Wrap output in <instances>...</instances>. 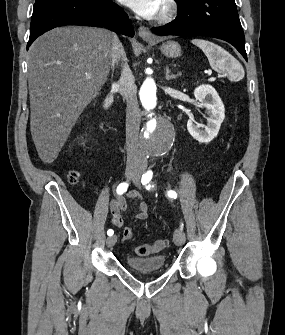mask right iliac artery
<instances>
[{
  "label": "right iliac artery",
  "instance_id": "1",
  "mask_svg": "<svg viewBox=\"0 0 285 335\" xmlns=\"http://www.w3.org/2000/svg\"><path fill=\"white\" fill-rule=\"evenodd\" d=\"M127 188H128V183L125 182V183L119 184L118 187H117V194L122 195L124 192L127 191ZM113 233H114V231L112 229H109L107 231V234L109 236H112Z\"/></svg>",
  "mask_w": 285,
  "mask_h": 335
}]
</instances>
